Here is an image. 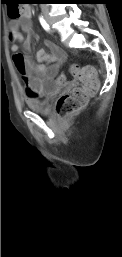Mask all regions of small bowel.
I'll return each instance as SVG.
<instances>
[{
  "label": "small bowel",
  "instance_id": "obj_1",
  "mask_svg": "<svg viewBox=\"0 0 122 257\" xmlns=\"http://www.w3.org/2000/svg\"><path fill=\"white\" fill-rule=\"evenodd\" d=\"M31 12V8L25 6L22 14L9 23L12 60L16 64V73L22 75L27 99L39 98L56 91L54 75L59 73L60 64L65 59L64 52L49 40L45 41L49 52L38 51L37 62L28 55L30 39L34 34ZM23 32L28 35L27 38L23 36ZM19 44H22L24 52L18 51Z\"/></svg>",
  "mask_w": 122,
  "mask_h": 257
}]
</instances>
